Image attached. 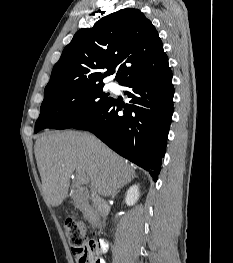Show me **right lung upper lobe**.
Returning <instances> with one entry per match:
<instances>
[{
  "label": "right lung upper lobe",
  "instance_id": "1",
  "mask_svg": "<svg viewBox=\"0 0 233 263\" xmlns=\"http://www.w3.org/2000/svg\"><path fill=\"white\" fill-rule=\"evenodd\" d=\"M119 66L115 79L153 75L168 66L158 32L138 9L127 8L109 14L92 28H83L64 48L53 67L44 98L89 85L103 84L109 75L99 69Z\"/></svg>",
  "mask_w": 233,
  "mask_h": 263
}]
</instances>
